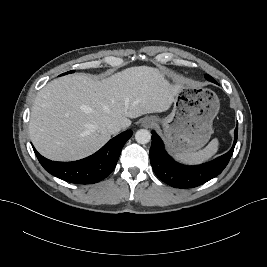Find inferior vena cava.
I'll return each mask as SVG.
<instances>
[{
    "label": "inferior vena cava",
    "mask_w": 267,
    "mask_h": 267,
    "mask_svg": "<svg viewBox=\"0 0 267 267\" xmlns=\"http://www.w3.org/2000/svg\"><path fill=\"white\" fill-rule=\"evenodd\" d=\"M122 128H123V125L119 122H112L107 125V129L110 132V134H117L120 132Z\"/></svg>",
    "instance_id": "inferior-vena-cava-1"
}]
</instances>
